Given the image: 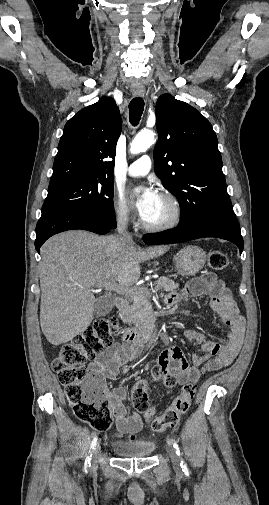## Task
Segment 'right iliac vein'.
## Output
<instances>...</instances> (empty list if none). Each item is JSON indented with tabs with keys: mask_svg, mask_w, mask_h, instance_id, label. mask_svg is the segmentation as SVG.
I'll return each instance as SVG.
<instances>
[{
	"mask_svg": "<svg viewBox=\"0 0 269 505\" xmlns=\"http://www.w3.org/2000/svg\"><path fill=\"white\" fill-rule=\"evenodd\" d=\"M99 457H100V448L99 446H97L93 452H92V455H91V471H95L97 469V466H98V461H99Z\"/></svg>",
	"mask_w": 269,
	"mask_h": 505,
	"instance_id": "obj_1",
	"label": "right iliac vein"
}]
</instances>
